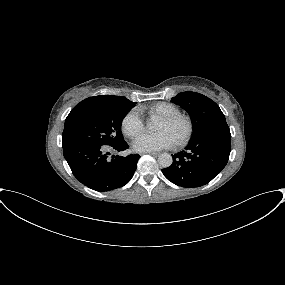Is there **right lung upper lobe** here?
Here are the masks:
<instances>
[{
  "instance_id": "1",
  "label": "right lung upper lobe",
  "mask_w": 285,
  "mask_h": 285,
  "mask_svg": "<svg viewBox=\"0 0 285 285\" xmlns=\"http://www.w3.org/2000/svg\"><path fill=\"white\" fill-rule=\"evenodd\" d=\"M127 98L123 96H112V95H99L94 97H89L83 101H81L79 104H77L69 113L67 116V119L77 113L78 111L95 107V106H104V105H111V104H117L122 103L126 104L129 103Z\"/></svg>"
}]
</instances>
